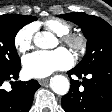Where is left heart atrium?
I'll return each instance as SVG.
<instances>
[{
  "instance_id": "left-heart-atrium-1",
  "label": "left heart atrium",
  "mask_w": 112,
  "mask_h": 112,
  "mask_svg": "<svg viewBox=\"0 0 112 112\" xmlns=\"http://www.w3.org/2000/svg\"><path fill=\"white\" fill-rule=\"evenodd\" d=\"M73 58L64 48L54 51H36L22 59L25 75L32 78H44L55 71L70 67Z\"/></svg>"
}]
</instances>
